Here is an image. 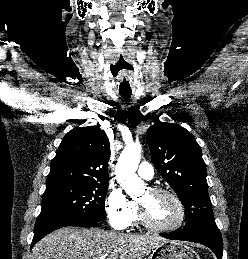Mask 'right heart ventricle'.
<instances>
[{
	"label": "right heart ventricle",
	"instance_id": "obj_1",
	"mask_svg": "<svg viewBox=\"0 0 248 259\" xmlns=\"http://www.w3.org/2000/svg\"><path fill=\"white\" fill-rule=\"evenodd\" d=\"M132 221L135 223V224H140L139 223V219H138V210H137V206L135 205V210H134V214H133V217H132ZM131 221V222H132Z\"/></svg>",
	"mask_w": 248,
	"mask_h": 259
}]
</instances>
